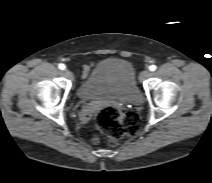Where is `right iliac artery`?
Here are the masks:
<instances>
[{
  "mask_svg": "<svg viewBox=\"0 0 212 183\" xmlns=\"http://www.w3.org/2000/svg\"><path fill=\"white\" fill-rule=\"evenodd\" d=\"M58 67H59V69H61V70H64V69L66 68V66H65L64 64H62V63L59 64Z\"/></svg>",
  "mask_w": 212,
  "mask_h": 183,
  "instance_id": "right-iliac-artery-1",
  "label": "right iliac artery"
}]
</instances>
